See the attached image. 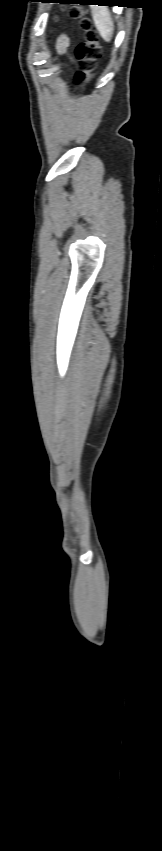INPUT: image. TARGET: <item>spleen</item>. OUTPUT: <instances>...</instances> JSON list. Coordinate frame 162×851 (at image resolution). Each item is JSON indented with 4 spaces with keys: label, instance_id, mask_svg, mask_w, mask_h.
Listing matches in <instances>:
<instances>
[{
    "label": "spleen",
    "instance_id": "spleen-1",
    "mask_svg": "<svg viewBox=\"0 0 162 851\" xmlns=\"http://www.w3.org/2000/svg\"><path fill=\"white\" fill-rule=\"evenodd\" d=\"M91 12L94 24L101 37L110 42L114 33V23L109 10L106 7L93 6Z\"/></svg>",
    "mask_w": 162,
    "mask_h": 851
}]
</instances>
